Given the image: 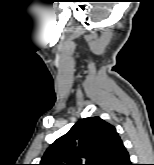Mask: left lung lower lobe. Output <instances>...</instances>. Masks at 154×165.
<instances>
[{
	"label": "left lung lower lobe",
	"mask_w": 154,
	"mask_h": 165,
	"mask_svg": "<svg viewBox=\"0 0 154 165\" xmlns=\"http://www.w3.org/2000/svg\"><path fill=\"white\" fill-rule=\"evenodd\" d=\"M115 165H133L130 162L129 154L126 151L125 147H123L119 152V158Z\"/></svg>",
	"instance_id": "0a47b994"
}]
</instances>
